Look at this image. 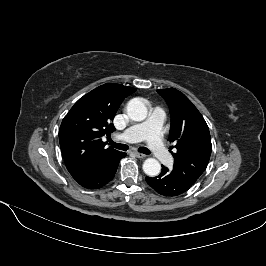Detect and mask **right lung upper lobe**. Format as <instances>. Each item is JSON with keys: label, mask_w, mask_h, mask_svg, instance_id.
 <instances>
[{"label": "right lung upper lobe", "mask_w": 266, "mask_h": 266, "mask_svg": "<svg viewBox=\"0 0 266 266\" xmlns=\"http://www.w3.org/2000/svg\"><path fill=\"white\" fill-rule=\"evenodd\" d=\"M135 89L107 83L81 97L64 117L59 129L62 156L71 176L89 175L119 151L105 148L102 136L115 130L112 119L122 101Z\"/></svg>", "instance_id": "1"}]
</instances>
